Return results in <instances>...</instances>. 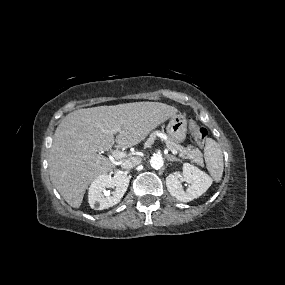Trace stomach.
<instances>
[{"label": "stomach", "mask_w": 285, "mask_h": 285, "mask_svg": "<svg viewBox=\"0 0 285 285\" xmlns=\"http://www.w3.org/2000/svg\"><path fill=\"white\" fill-rule=\"evenodd\" d=\"M167 134L170 141L181 143L186 139L187 120L184 115L175 114L167 125Z\"/></svg>", "instance_id": "1"}]
</instances>
